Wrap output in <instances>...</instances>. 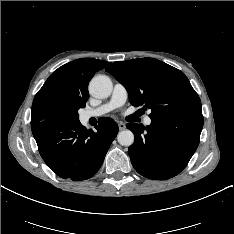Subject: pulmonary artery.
Returning a JSON list of instances; mask_svg holds the SVG:
<instances>
[{
  "instance_id": "pulmonary-artery-1",
  "label": "pulmonary artery",
  "mask_w": 234,
  "mask_h": 234,
  "mask_svg": "<svg viewBox=\"0 0 234 234\" xmlns=\"http://www.w3.org/2000/svg\"><path fill=\"white\" fill-rule=\"evenodd\" d=\"M127 98H128V92L125 86L121 83H116L114 85L110 99L106 103H104L103 105L97 108L85 111L83 114V119L88 120L93 117L103 116L108 112L123 106L127 101ZM151 122H152L151 118L149 116H146L144 119V124L148 126L151 124Z\"/></svg>"
}]
</instances>
